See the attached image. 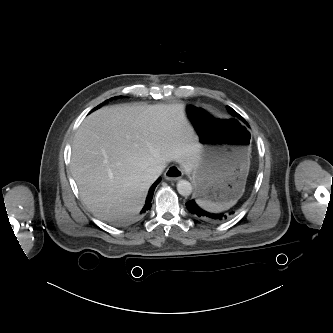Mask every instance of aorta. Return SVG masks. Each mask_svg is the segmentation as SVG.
Returning <instances> with one entry per match:
<instances>
[{"mask_svg":"<svg viewBox=\"0 0 333 333\" xmlns=\"http://www.w3.org/2000/svg\"><path fill=\"white\" fill-rule=\"evenodd\" d=\"M177 190L182 196H189L192 193V186L190 182L186 180H179L177 183Z\"/></svg>","mask_w":333,"mask_h":333,"instance_id":"1","label":"aorta"}]
</instances>
